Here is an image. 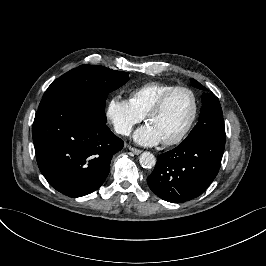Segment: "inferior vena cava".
<instances>
[{
  "label": "inferior vena cava",
  "mask_w": 266,
  "mask_h": 266,
  "mask_svg": "<svg viewBox=\"0 0 266 266\" xmlns=\"http://www.w3.org/2000/svg\"><path fill=\"white\" fill-rule=\"evenodd\" d=\"M131 128L128 126H125L124 128L120 130H116L117 133L123 134V135H129L131 133Z\"/></svg>",
  "instance_id": "obj_1"
}]
</instances>
